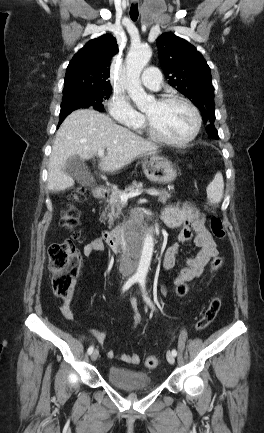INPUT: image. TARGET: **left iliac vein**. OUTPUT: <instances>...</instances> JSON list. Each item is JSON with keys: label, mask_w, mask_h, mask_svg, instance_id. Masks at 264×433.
Returning a JSON list of instances; mask_svg holds the SVG:
<instances>
[{"label": "left iliac vein", "mask_w": 264, "mask_h": 433, "mask_svg": "<svg viewBox=\"0 0 264 433\" xmlns=\"http://www.w3.org/2000/svg\"><path fill=\"white\" fill-rule=\"evenodd\" d=\"M166 358H167V361L170 364H174V362H175V356L170 351L167 352Z\"/></svg>", "instance_id": "1"}]
</instances>
